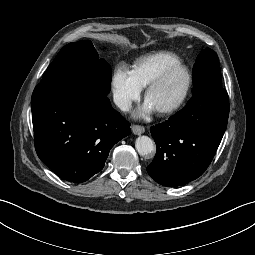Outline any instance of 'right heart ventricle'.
<instances>
[{"label":"right heart ventricle","mask_w":255,"mask_h":255,"mask_svg":"<svg viewBox=\"0 0 255 255\" xmlns=\"http://www.w3.org/2000/svg\"><path fill=\"white\" fill-rule=\"evenodd\" d=\"M180 62L170 51H158L141 57L134 65L133 73L140 86L146 87L164 68Z\"/></svg>","instance_id":"obj_1"}]
</instances>
